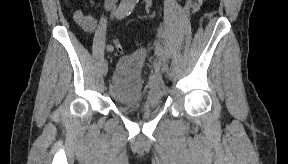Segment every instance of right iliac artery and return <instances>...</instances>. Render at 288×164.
<instances>
[{
  "instance_id": "obj_1",
  "label": "right iliac artery",
  "mask_w": 288,
  "mask_h": 164,
  "mask_svg": "<svg viewBox=\"0 0 288 164\" xmlns=\"http://www.w3.org/2000/svg\"><path fill=\"white\" fill-rule=\"evenodd\" d=\"M127 12L125 10V6H120L119 9L116 12V17L117 19H123L126 16ZM114 47L111 44L107 45V51L108 52H113Z\"/></svg>"
}]
</instances>
